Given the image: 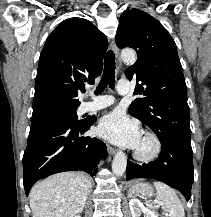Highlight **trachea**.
Segmentation results:
<instances>
[{
	"instance_id": "1",
	"label": "trachea",
	"mask_w": 211,
	"mask_h": 217,
	"mask_svg": "<svg viewBox=\"0 0 211 217\" xmlns=\"http://www.w3.org/2000/svg\"><path fill=\"white\" fill-rule=\"evenodd\" d=\"M110 86L111 89H114L115 86V56L112 50H109L104 59V72L101 78L99 85L95 90V94H100L104 89Z\"/></svg>"
}]
</instances>
